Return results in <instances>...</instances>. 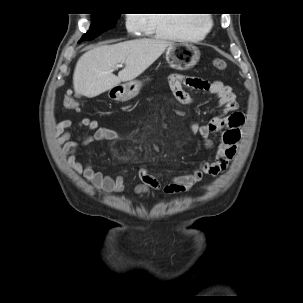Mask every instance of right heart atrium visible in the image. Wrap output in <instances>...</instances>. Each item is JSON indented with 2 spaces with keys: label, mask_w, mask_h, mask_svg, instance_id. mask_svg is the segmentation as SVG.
I'll return each mask as SVG.
<instances>
[{
  "label": "right heart atrium",
  "mask_w": 303,
  "mask_h": 303,
  "mask_svg": "<svg viewBox=\"0 0 303 303\" xmlns=\"http://www.w3.org/2000/svg\"><path fill=\"white\" fill-rule=\"evenodd\" d=\"M126 26L131 32H138L145 27L144 14H129L126 19Z\"/></svg>",
  "instance_id": "obj_1"
}]
</instances>
